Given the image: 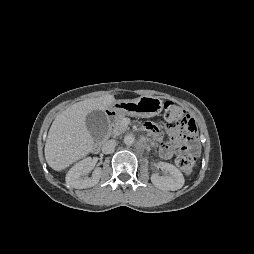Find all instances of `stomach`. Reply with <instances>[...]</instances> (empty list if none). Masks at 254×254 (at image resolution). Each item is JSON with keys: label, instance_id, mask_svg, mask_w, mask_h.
Returning <instances> with one entry per match:
<instances>
[{"label": "stomach", "instance_id": "stomach-1", "mask_svg": "<svg viewBox=\"0 0 254 254\" xmlns=\"http://www.w3.org/2000/svg\"><path fill=\"white\" fill-rule=\"evenodd\" d=\"M163 109V101L159 97L142 96L132 100H116L109 108L112 116H139L150 118L158 115Z\"/></svg>", "mask_w": 254, "mask_h": 254}]
</instances>
